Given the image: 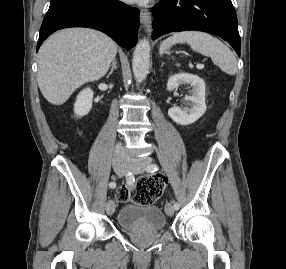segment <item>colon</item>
<instances>
[{
	"label": "colon",
	"instance_id": "colon-1",
	"mask_svg": "<svg viewBox=\"0 0 286 269\" xmlns=\"http://www.w3.org/2000/svg\"><path fill=\"white\" fill-rule=\"evenodd\" d=\"M165 178L160 175L143 176L136 180L133 187L122 186L116 190V198L122 202L150 204L161 194Z\"/></svg>",
	"mask_w": 286,
	"mask_h": 269
}]
</instances>
